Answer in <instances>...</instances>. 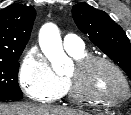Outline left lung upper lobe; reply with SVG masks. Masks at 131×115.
<instances>
[{
    "instance_id": "5c2ea615",
    "label": "left lung upper lobe",
    "mask_w": 131,
    "mask_h": 115,
    "mask_svg": "<svg viewBox=\"0 0 131 115\" xmlns=\"http://www.w3.org/2000/svg\"><path fill=\"white\" fill-rule=\"evenodd\" d=\"M72 15L78 28L131 79V45L123 29L107 13L85 2L74 5Z\"/></svg>"
}]
</instances>
